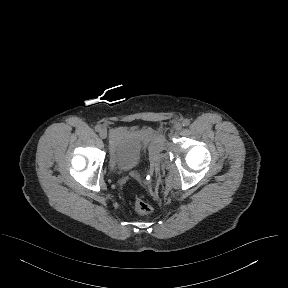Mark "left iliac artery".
I'll return each mask as SVG.
<instances>
[{
    "label": "left iliac artery",
    "instance_id": "obj_1",
    "mask_svg": "<svg viewBox=\"0 0 288 288\" xmlns=\"http://www.w3.org/2000/svg\"><path fill=\"white\" fill-rule=\"evenodd\" d=\"M190 124V120L189 119H184L182 122L183 126H188Z\"/></svg>",
    "mask_w": 288,
    "mask_h": 288
}]
</instances>
